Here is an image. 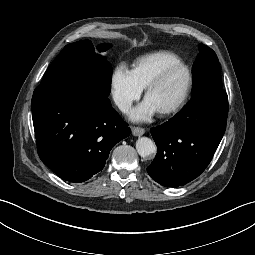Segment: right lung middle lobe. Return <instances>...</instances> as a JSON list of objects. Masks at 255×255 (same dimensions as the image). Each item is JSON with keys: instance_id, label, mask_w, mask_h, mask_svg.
I'll use <instances>...</instances> for the list:
<instances>
[{"instance_id": "obj_1", "label": "right lung middle lobe", "mask_w": 255, "mask_h": 255, "mask_svg": "<svg viewBox=\"0 0 255 255\" xmlns=\"http://www.w3.org/2000/svg\"><path fill=\"white\" fill-rule=\"evenodd\" d=\"M110 48L98 46L99 52ZM112 67L106 57L98 55L90 40L68 44L45 72L41 84L72 85L102 97L111 91Z\"/></svg>"}]
</instances>
